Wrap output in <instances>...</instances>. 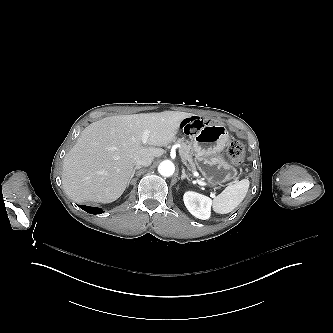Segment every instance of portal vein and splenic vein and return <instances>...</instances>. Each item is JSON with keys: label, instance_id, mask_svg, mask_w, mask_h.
<instances>
[{"label": "portal vein and splenic vein", "instance_id": "obj_1", "mask_svg": "<svg viewBox=\"0 0 333 333\" xmlns=\"http://www.w3.org/2000/svg\"><path fill=\"white\" fill-rule=\"evenodd\" d=\"M149 138V131H144L143 135H142V143L146 144L147 140ZM200 185H205L204 182H199Z\"/></svg>", "mask_w": 333, "mask_h": 333}]
</instances>
